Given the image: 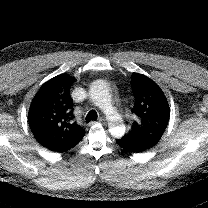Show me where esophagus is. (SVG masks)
I'll use <instances>...</instances> for the list:
<instances>
[{
	"label": "esophagus",
	"mask_w": 208,
	"mask_h": 208,
	"mask_svg": "<svg viewBox=\"0 0 208 208\" xmlns=\"http://www.w3.org/2000/svg\"><path fill=\"white\" fill-rule=\"evenodd\" d=\"M98 122L103 124V125L107 124V121L104 118H102V117L98 119Z\"/></svg>",
	"instance_id": "34e87169"
}]
</instances>
